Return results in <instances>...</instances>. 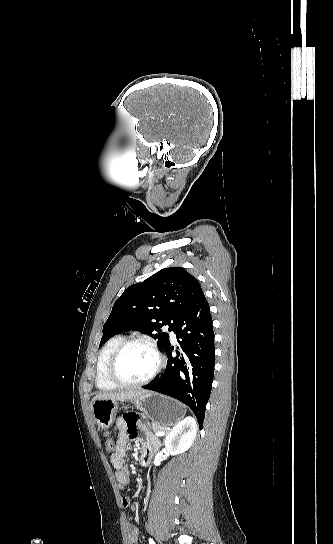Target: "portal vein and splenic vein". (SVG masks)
Wrapping results in <instances>:
<instances>
[{"label": "portal vein and splenic vein", "instance_id": "portal-vein-and-splenic-vein-1", "mask_svg": "<svg viewBox=\"0 0 333 544\" xmlns=\"http://www.w3.org/2000/svg\"><path fill=\"white\" fill-rule=\"evenodd\" d=\"M165 434V432H157L156 435L157 436H163Z\"/></svg>", "mask_w": 333, "mask_h": 544}]
</instances>
